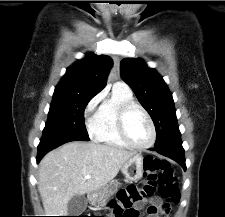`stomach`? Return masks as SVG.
<instances>
[{"label":"stomach","instance_id":"1","mask_svg":"<svg viewBox=\"0 0 225 217\" xmlns=\"http://www.w3.org/2000/svg\"><path fill=\"white\" fill-rule=\"evenodd\" d=\"M121 170L127 180L138 181L144 173V158L140 154H135L123 164ZM117 188L118 182H110L108 185L92 193L90 196L91 203H101L112 196L117 191Z\"/></svg>","mask_w":225,"mask_h":217}]
</instances>
